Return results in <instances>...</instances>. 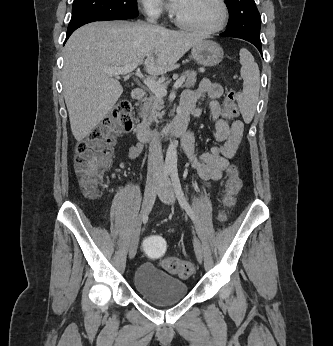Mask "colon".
I'll list each match as a JSON object with an SVG mask.
<instances>
[{"label": "colon", "mask_w": 333, "mask_h": 346, "mask_svg": "<svg viewBox=\"0 0 333 346\" xmlns=\"http://www.w3.org/2000/svg\"><path fill=\"white\" fill-rule=\"evenodd\" d=\"M226 119H233L238 115L235 102V91L228 90L223 108ZM133 127L132 107L129 101H119L113 113L108 116L104 123L90 132L88 137L81 141L76 148L75 169L81 189L89 196L96 197L102 183L104 174L112 163L113 148L116 135L129 132ZM242 182L239 170L235 165L228 168L225 182L224 204L230 208L235 205L236 197L241 190ZM223 218V217H222ZM142 246L144 256L150 260H159L166 256V240L161 233H148L143 235ZM163 269L187 278L194 272V265L189 261H182L175 257L164 258L161 261Z\"/></svg>", "instance_id": "1"}]
</instances>
